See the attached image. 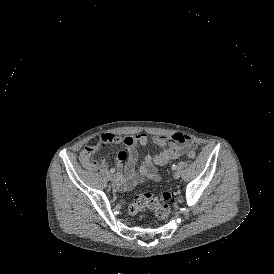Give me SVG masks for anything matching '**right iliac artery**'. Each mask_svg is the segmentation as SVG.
Wrapping results in <instances>:
<instances>
[{
  "mask_svg": "<svg viewBox=\"0 0 274 274\" xmlns=\"http://www.w3.org/2000/svg\"><path fill=\"white\" fill-rule=\"evenodd\" d=\"M110 172H111V173H114V172H115V169H114V168H111V169H110Z\"/></svg>",
  "mask_w": 274,
  "mask_h": 274,
  "instance_id": "right-iliac-artery-1",
  "label": "right iliac artery"
}]
</instances>
